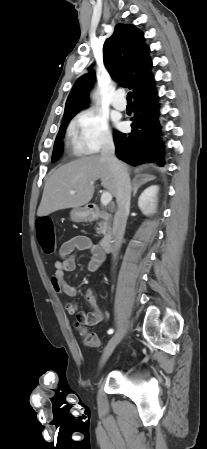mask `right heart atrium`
I'll use <instances>...</instances> for the list:
<instances>
[{"label": "right heart atrium", "mask_w": 207, "mask_h": 449, "mask_svg": "<svg viewBox=\"0 0 207 449\" xmlns=\"http://www.w3.org/2000/svg\"><path fill=\"white\" fill-rule=\"evenodd\" d=\"M72 131L83 152L93 154L113 142V136L105 117L86 109L75 117Z\"/></svg>", "instance_id": "obj_1"}]
</instances>
